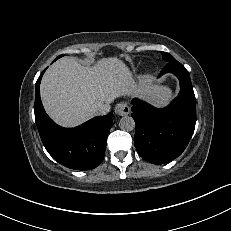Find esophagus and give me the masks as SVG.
<instances>
[{
  "mask_svg": "<svg viewBox=\"0 0 231 231\" xmlns=\"http://www.w3.org/2000/svg\"><path fill=\"white\" fill-rule=\"evenodd\" d=\"M115 113L119 116H125L130 113V108L126 103H118L115 108Z\"/></svg>",
  "mask_w": 231,
  "mask_h": 231,
  "instance_id": "esophagus-1",
  "label": "esophagus"
}]
</instances>
